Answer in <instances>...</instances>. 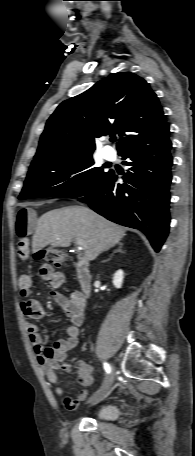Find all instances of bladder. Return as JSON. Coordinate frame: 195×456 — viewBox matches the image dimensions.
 <instances>
[{
	"label": "bladder",
	"instance_id": "1",
	"mask_svg": "<svg viewBox=\"0 0 195 456\" xmlns=\"http://www.w3.org/2000/svg\"><path fill=\"white\" fill-rule=\"evenodd\" d=\"M99 419L114 420L119 416V409L115 405H104L96 413Z\"/></svg>",
	"mask_w": 195,
	"mask_h": 456
}]
</instances>
